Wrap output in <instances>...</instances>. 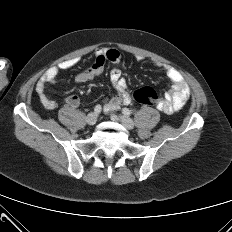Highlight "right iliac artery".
Returning a JSON list of instances; mask_svg holds the SVG:
<instances>
[{
    "label": "right iliac artery",
    "mask_w": 232,
    "mask_h": 232,
    "mask_svg": "<svg viewBox=\"0 0 232 232\" xmlns=\"http://www.w3.org/2000/svg\"><path fill=\"white\" fill-rule=\"evenodd\" d=\"M101 110H102L101 105H96L94 108V113L97 115L101 112Z\"/></svg>",
    "instance_id": "82829eb1"
}]
</instances>
